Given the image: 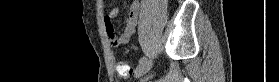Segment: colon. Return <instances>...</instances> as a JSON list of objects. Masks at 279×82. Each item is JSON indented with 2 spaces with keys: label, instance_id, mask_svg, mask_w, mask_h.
I'll return each instance as SVG.
<instances>
[{
  "label": "colon",
  "instance_id": "colon-1",
  "mask_svg": "<svg viewBox=\"0 0 279 82\" xmlns=\"http://www.w3.org/2000/svg\"><path fill=\"white\" fill-rule=\"evenodd\" d=\"M116 70L117 73L119 74V76L123 77V78H127L132 74V68L130 67V65L121 60L118 62L117 66H116Z\"/></svg>",
  "mask_w": 279,
  "mask_h": 82
}]
</instances>
